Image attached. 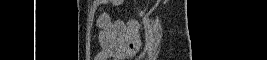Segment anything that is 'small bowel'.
<instances>
[{
    "mask_svg": "<svg viewBox=\"0 0 267 60\" xmlns=\"http://www.w3.org/2000/svg\"><path fill=\"white\" fill-rule=\"evenodd\" d=\"M120 5L121 1H112ZM100 51L96 60L127 59L140 48V26L134 20H112L109 14L102 13L97 20Z\"/></svg>",
    "mask_w": 267,
    "mask_h": 60,
    "instance_id": "small-bowel-1",
    "label": "small bowel"
}]
</instances>
